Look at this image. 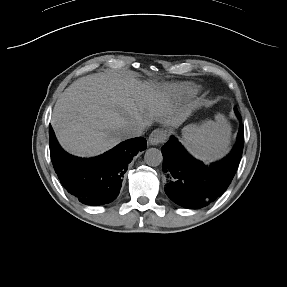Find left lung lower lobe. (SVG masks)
<instances>
[{
	"mask_svg": "<svg viewBox=\"0 0 287 287\" xmlns=\"http://www.w3.org/2000/svg\"><path fill=\"white\" fill-rule=\"evenodd\" d=\"M236 114L241 120L240 114ZM243 144L241 124L231 153L208 166L192 158L172 136L161 148L164 153L162 170L167 177L165 193L173 202L189 209H199L213 202L231 183L242 156Z\"/></svg>",
	"mask_w": 287,
	"mask_h": 287,
	"instance_id": "0a47b994",
	"label": "left lung lower lobe"
}]
</instances>
